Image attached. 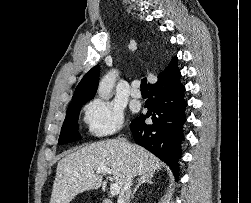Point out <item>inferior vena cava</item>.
Wrapping results in <instances>:
<instances>
[{
  "label": "inferior vena cava",
  "mask_w": 251,
  "mask_h": 203,
  "mask_svg": "<svg viewBox=\"0 0 251 203\" xmlns=\"http://www.w3.org/2000/svg\"><path fill=\"white\" fill-rule=\"evenodd\" d=\"M123 148L126 149V144L123 142ZM133 175L129 174L124 182V186L119 195V203H130L131 185H132Z\"/></svg>",
  "instance_id": "inferior-vena-cava-1"
}]
</instances>
